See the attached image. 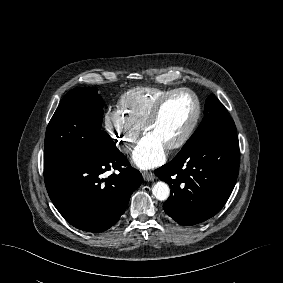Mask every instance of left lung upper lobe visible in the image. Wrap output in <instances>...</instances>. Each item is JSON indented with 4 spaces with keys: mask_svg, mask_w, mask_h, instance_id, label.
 Masks as SVG:
<instances>
[{
    "mask_svg": "<svg viewBox=\"0 0 283 283\" xmlns=\"http://www.w3.org/2000/svg\"><path fill=\"white\" fill-rule=\"evenodd\" d=\"M232 133H236L234 121L229 116L224 105L214 94H211L206 99L202 122L183 148L201 140L221 137Z\"/></svg>",
    "mask_w": 283,
    "mask_h": 283,
    "instance_id": "5c2ea615",
    "label": "left lung upper lobe"
}]
</instances>
